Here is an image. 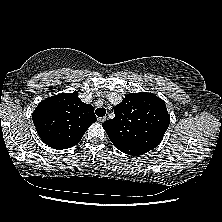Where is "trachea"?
Segmentation results:
<instances>
[{
  "instance_id": "obj_1",
  "label": "trachea",
  "mask_w": 222,
  "mask_h": 222,
  "mask_svg": "<svg viewBox=\"0 0 222 222\" xmlns=\"http://www.w3.org/2000/svg\"><path fill=\"white\" fill-rule=\"evenodd\" d=\"M95 113H96V115L98 116V117H103V116H105V114H106V109L105 108H97L96 109V111H95Z\"/></svg>"
}]
</instances>
